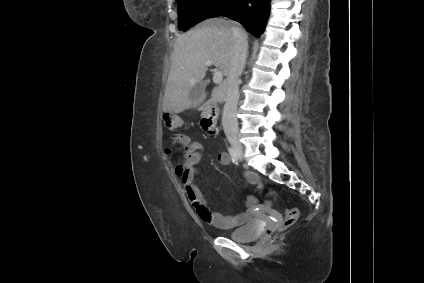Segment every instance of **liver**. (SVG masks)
Returning a JSON list of instances; mask_svg holds the SVG:
<instances>
[{"label": "liver", "mask_w": 424, "mask_h": 283, "mask_svg": "<svg viewBox=\"0 0 424 283\" xmlns=\"http://www.w3.org/2000/svg\"><path fill=\"white\" fill-rule=\"evenodd\" d=\"M232 26L225 18H209L178 36L164 94V112L181 113L201 102L205 95L192 100L189 94L204 78L208 60L228 76L235 43Z\"/></svg>", "instance_id": "liver-1"}]
</instances>
